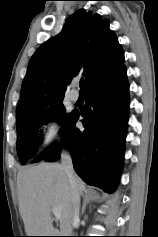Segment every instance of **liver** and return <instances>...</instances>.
<instances>
[{"label": "liver", "mask_w": 158, "mask_h": 237, "mask_svg": "<svg viewBox=\"0 0 158 237\" xmlns=\"http://www.w3.org/2000/svg\"><path fill=\"white\" fill-rule=\"evenodd\" d=\"M80 195H92L75 175ZM19 211L28 236H66L72 232V197L66 172L61 164L40 163L25 167L17 174ZM84 195V196H85ZM60 211V231L53 227L51 211Z\"/></svg>", "instance_id": "6515ba94"}]
</instances>
